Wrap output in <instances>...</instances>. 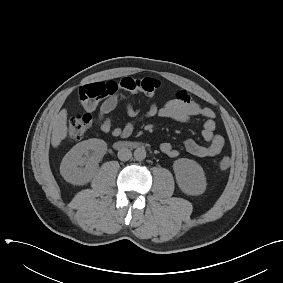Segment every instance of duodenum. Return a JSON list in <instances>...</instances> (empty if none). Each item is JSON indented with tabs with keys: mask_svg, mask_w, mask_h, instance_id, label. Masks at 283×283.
<instances>
[{
	"mask_svg": "<svg viewBox=\"0 0 283 283\" xmlns=\"http://www.w3.org/2000/svg\"><path fill=\"white\" fill-rule=\"evenodd\" d=\"M137 144L134 142H130V141H119L116 142L114 147L116 149H124V148H131V147H136Z\"/></svg>",
	"mask_w": 283,
	"mask_h": 283,
	"instance_id": "duodenum-1",
	"label": "duodenum"
}]
</instances>
